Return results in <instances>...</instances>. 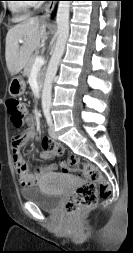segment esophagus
Returning a JSON list of instances; mask_svg holds the SVG:
<instances>
[{
  "label": "esophagus",
  "instance_id": "34e87169",
  "mask_svg": "<svg viewBox=\"0 0 133 253\" xmlns=\"http://www.w3.org/2000/svg\"><path fill=\"white\" fill-rule=\"evenodd\" d=\"M55 5H56L55 1H51L47 5V7L45 9V13L43 15V18H49L52 15V13L54 12V9H55Z\"/></svg>",
  "mask_w": 133,
  "mask_h": 253
}]
</instances>
